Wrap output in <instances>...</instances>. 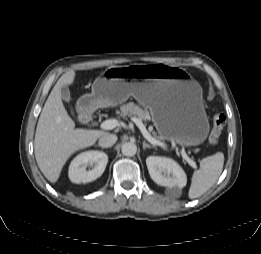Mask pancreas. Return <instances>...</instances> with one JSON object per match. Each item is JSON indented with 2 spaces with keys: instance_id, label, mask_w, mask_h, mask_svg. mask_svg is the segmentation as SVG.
Returning a JSON list of instances; mask_svg holds the SVG:
<instances>
[{
  "instance_id": "cf45deb5",
  "label": "pancreas",
  "mask_w": 261,
  "mask_h": 254,
  "mask_svg": "<svg viewBox=\"0 0 261 254\" xmlns=\"http://www.w3.org/2000/svg\"><path fill=\"white\" fill-rule=\"evenodd\" d=\"M118 114L125 118V117H131V116H135L138 117V119L143 120V121H147L150 119V114L147 110H143L140 106L134 104L133 102L127 103L125 105H123L120 108V111L118 112ZM154 136L156 137V134H154Z\"/></svg>"
}]
</instances>
